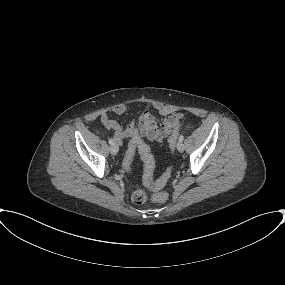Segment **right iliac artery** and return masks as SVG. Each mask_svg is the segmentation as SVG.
<instances>
[{
    "label": "right iliac artery",
    "instance_id": "1",
    "mask_svg": "<svg viewBox=\"0 0 285 285\" xmlns=\"http://www.w3.org/2000/svg\"><path fill=\"white\" fill-rule=\"evenodd\" d=\"M109 144L110 145L114 144V140L113 139H109Z\"/></svg>",
    "mask_w": 285,
    "mask_h": 285
}]
</instances>
